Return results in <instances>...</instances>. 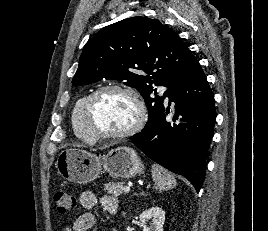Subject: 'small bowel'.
Listing matches in <instances>:
<instances>
[{"label":"small bowel","instance_id":"1","mask_svg":"<svg viewBox=\"0 0 268 231\" xmlns=\"http://www.w3.org/2000/svg\"><path fill=\"white\" fill-rule=\"evenodd\" d=\"M79 203L83 208L91 209L99 205L101 209L110 215H113L118 210V200L111 195H103L96 197L90 191H84L80 194ZM97 223V217L93 213H84L77 217L64 231H89Z\"/></svg>","mask_w":268,"mask_h":231}]
</instances>
